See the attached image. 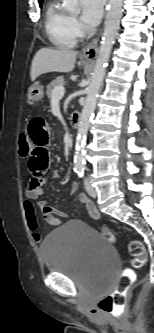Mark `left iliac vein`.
<instances>
[{
	"label": "left iliac vein",
	"instance_id": "left-iliac-vein-1",
	"mask_svg": "<svg viewBox=\"0 0 154 333\" xmlns=\"http://www.w3.org/2000/svg\"><path fill=\"white\" fill-rule=\"evenodd\" d=\"M84 184H85L87 193L91 197H96L97 196V192H96L95 188L90 184V182L87 179L84 180Z\"/></svg>",
	"mask_w": 154,
	"mask_h": 333
}]
</instances>
